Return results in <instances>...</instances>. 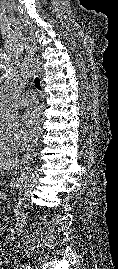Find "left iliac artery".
Here are the masks:
<instances>
[{"mask_svg": "<svg viewBox=\"0 0 118 269\" xmlns=\"http://www.w3.org/2000/svg\"><path fill=\"white\" fill-rule=\"evenodd\" d=\"M20 269H31V267L27 266V265H21Z\"/></svg>", "mask_w": 118, "mask_h": 269, "instance_id": "44dca946", "label": "left iliac artery"}]
</instances>
